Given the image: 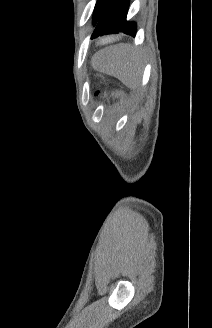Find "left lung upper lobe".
<instances>
[{
    "label": "left lung upper lobe",
    "mask_w": 212,
    "mask_h": 328,
    "mask_svg": "<svg viewBox=\"0 0 212 328\" xmlns=\"http://www.w3.org/2000/svg\"><path fill=\"white\" fill-rule=\"evenodd\" d=\"M108 2V0H97L95 9H94V18H93V24L95 25L102 10L104 9L106 3Z\"/></svg>",
    "instance_id": "1"
}]
</instances>
